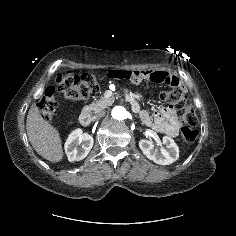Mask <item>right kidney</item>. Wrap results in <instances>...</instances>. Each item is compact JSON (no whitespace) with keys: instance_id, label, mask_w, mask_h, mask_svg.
<instances>
[{"instance_id":"1","label":"right kidney","mask_w":236,"mask_h":236,"mask_svg":"<svg viewBox=\"0 0 236 236\" xmlns=\"http://www.w3.org/2000/svg\"><path fill=\"white\" fill-rule=\"evenodd\" d=\"M94 139L81 129L72 131L66 142L65 152L70 162L83 160L93 147Z\"/></svg>"}]
</instances>
